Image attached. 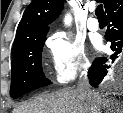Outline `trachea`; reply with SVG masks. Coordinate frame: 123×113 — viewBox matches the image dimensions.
<instances>
[{
	"mask_svg": "<svg viewBox=\"0 0 123 113\" xmlns=\"http://www.w3.org/2000/svg\"><path fill=\"white\" fill-rule=\"evenodd\" d=\"M95 12H96L97 18H105L106 17L102 4L97 6Z\"/></svg>",
	"mask_w": 123,
	"mask_h": 113,
	"instance_id": "3493384b",
	"label": "trachea"
}]
</instances>
